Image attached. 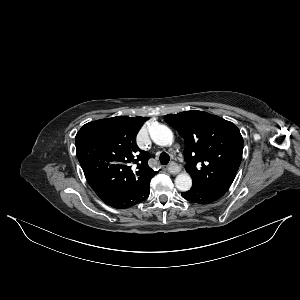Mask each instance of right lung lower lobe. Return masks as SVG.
I'll return each mask as SVG.
<instances>
[{
	"mask_svg": "<svg viewBox=\"0 0 300 300\" xmlns=\"http://www.w3.org/2000/svg\"><path fill=\"white\" fill-rule=\"evenodd\" d=\"M150 181L142 187H130L106 197L101 200L114 208H128L144 201L149 195Z\"/></svg>",
	"mask_w": 300,
	"mask_h": 300,
	"instance_id": "right-lung-lower-lobe-1",
	"label": "right lung lower lobe"
}]
</instances>
